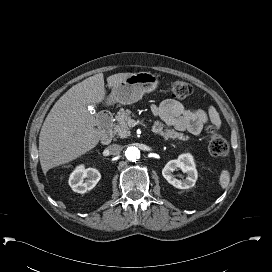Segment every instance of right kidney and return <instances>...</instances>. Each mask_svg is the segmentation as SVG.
Segmentation results:
<instances>
[{"label": "right kidney", "mask_w": 272, "mask_h": 272, "mask_svg": "<svg viewBox=\"0 0 272 272\" xmlns=\"http://www.w3.org/2000/svg\"><path fill=\"white\" fill-rule=\"evenodd\" d=\"M100 179L101 174L97 169H85L81 164L70 174L68 183L74 192L83 194L93 189Z\"/></svg>", "instance_id": "ca27d5eb"}]
</instances>
